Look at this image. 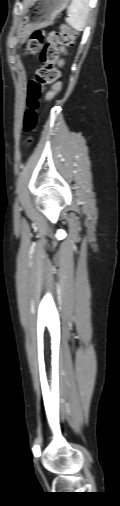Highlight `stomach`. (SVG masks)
<instances>
[{
    "label": "stomach",
    "instance_id": "0dacf381",
    "mask_svg": "<svg viewBox=\"0 0 120 506\" xmlns=\"http://www.w3.org/2000/svg\"><path fill=\"white\" fill-rule=\"evenodd\" d=\"M70 0H32L24 15L23 25L18 31L23 43L35 28L48 26L63 11Z\"/></svg>",
    "mask_w": 120,
    "mask_h": 506
}]
</instances>
